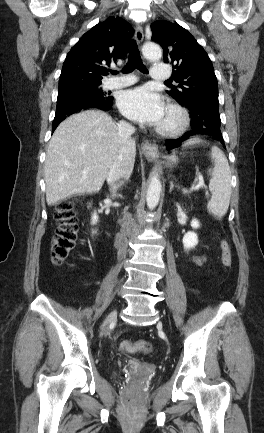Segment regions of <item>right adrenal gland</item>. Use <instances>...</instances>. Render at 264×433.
<instances>
[{
	"instance_id": "2a0ac1e0",
	"label": "right adrenal gland",
	"mask_w": 264,
	"mask_h": 433,
	"mask_svg": "<svg viewBox=\"0 0 264 433\" xmlns=\"http://www.w3.org/2000/svg\"><path fill=\"white\" fill-rule=\"evenodd\" d=\"M123 184H124V182H123V181H120L119 184L117 185V187L119 188V187H121Z\"/></svg>"
}]
</instances>
